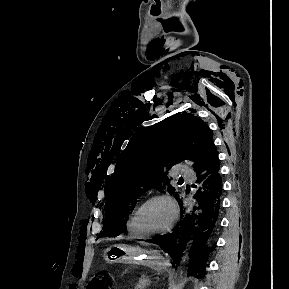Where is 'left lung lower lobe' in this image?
I'll list each match as a JSON object with an SVG mask.
<instances>
[{"instance_id": "obj_1", "label": "left lung lower lobe", "mask_w": 289, "mask_h": 289, "mask_svg": "<svg viewBox=\"0 0 289 289\" xmlns=\"http://www.w3.org/2000/svg\"><path fill=\"white\" fill-rule=\"evenodd\" d=\"M197 173L198 191L192 209L187 213L174 232L156 237L149 242L163 246L176 262L178 255L185 248V240L193 236L190 250L189 271L200 278L205 275V263L209 252L208 248L211 233L217 223L222 193L220 164L216 148L212 150L203 165L195 170ZM197 187V186H194ZM181 210L182 200L177 198Z\"/></svg>"}]
</instances>
